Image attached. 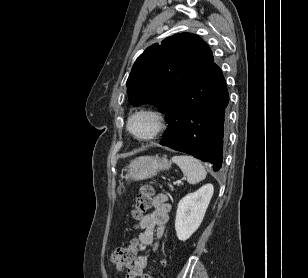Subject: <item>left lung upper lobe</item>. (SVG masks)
<instances>
[{"mask_svg":"<svg viewBox=\"0 0 308 278\" xmlns=\"http://www.w3.org/2000/svg\"><path fill=\"white\" fill-rule=\"evenodd\" d=\"M214 64L208 45L180 33L148 47L136 60L126 86L133 106L150 103L165 113L184 88Z\"/></svg>","mask_w":308,"mask_h":278,"instance_id":"obj_1","label":"left lung upper lobe"}]
</instances>
